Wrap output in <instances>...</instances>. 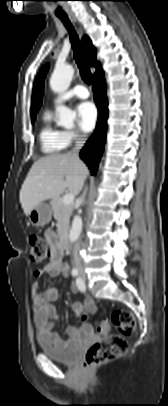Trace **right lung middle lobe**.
<instances>
[{"instance_id": "dd1d6c3e", "label": "right lung middle lobe", "mask_w": 168, "mask_h": 406, "mask_svg": "<svg viewBox=\"0 0 168 406\" xmlns=\"http://www.w3.org/2000/svg\"><path fill=\"white\" fill-rule=\"evenodd\" d=\"M34 120H35V119H32V123H34Z\"/></svg>"}]
</instances>
